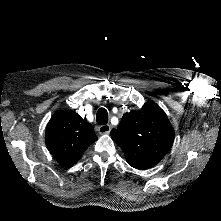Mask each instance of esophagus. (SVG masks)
I'll return each mask as SVG.
<instances>
[{"label":"esophagus","instance_id":"1","mask_svg":"<svg viewBox=\"0 0 221 221\" xmlns=\"http://www.w3.org/2000/svg\"><path fill=\"white\" fill-rule=\"evenodd\" d=\"M111 131V126L109 124L100 125L98 127L99 134H109Z\"/></svg>","mask_w":221,"mask_h":221}]
</instances>
